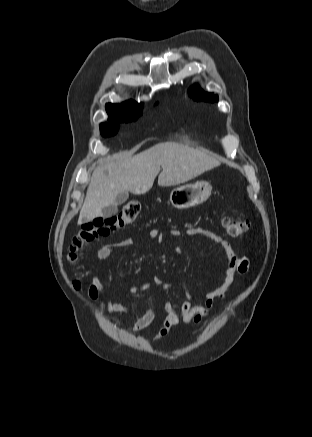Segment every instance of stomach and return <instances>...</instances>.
Segmentation results:
<instances>
[{"label": "stomach", "mask_w": 312, "mask_h": 437, "mask_svg": "<svg viewBox=\"0 0 312 437\" xmlns=\"http://www.w3.org/2000/svg\"><path fill=\"white\" fill-rule=\"evenodd\" d=\"M211 191V185L205 181L181 185L171 191L170 202L175 209H188L205 202L210 197Z\"/></svg>", "instance_id": "stomach-1"}]
</instances>
